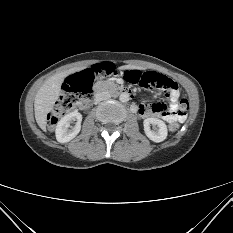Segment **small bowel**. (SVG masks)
<instances>
[{
	"instance_id": "obj_1",
	"label": "small bowel",
	"mask_w": 233,
	"mask_h": 233,
	"mask_svg": "<svg viewBox=\"0 0 233 233\" xmlns=\"http://www.w3.org/2000/svg\"><path fill=\"white\" fill-rule=\"evenodd\" d=\"M166 92L170 98V104L168 105L159 104V106L142 104L139 107V112L141 116L145 118L160 117L166 122H168L169 124L173 122L184 121L185 114H182L178 108L180 93H179L176 83H174L173 88L166 90Z\"/></svg>"
}]
</instances>
